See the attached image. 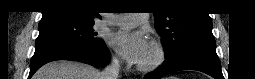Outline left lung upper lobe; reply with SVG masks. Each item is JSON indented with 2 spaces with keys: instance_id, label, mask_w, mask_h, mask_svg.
Masks as SVG:
<instances>
[{
  "instance_id": "5c2ea615",
  "label": "left lung upper lobe",
  "mask_w": 255,
  "mask_h": 79,
  "mask_svg": "<svg viewBox=\"0 0 255 79\" xmlns=\"http://www.w3.org/2000/svg\"><path fill=\"white\" fill-rule=\"evenodd\" d=\"M155 2H159V7L154 12V24L162 38L166 59L174 57L192 43L215 42L212 21L207 13L181 12L164 7L171 1Z\"/></svg>"
}]
</instances>
